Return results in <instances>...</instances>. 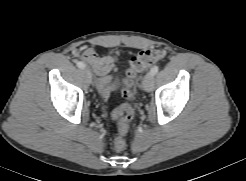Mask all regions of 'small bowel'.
Masks as SVG:
<instances>
[{
	"instance_id": "obj_1",
	"label": "small bowel",
	"mask_w": 246,
	"mask_h": 181,
	"mask_svg": "<svg viewBox=\"0 0 246 181\" xmlns=\"http://www.w3.org/2000/svg\"><path fill=\"white\" fill-rule=\"evenodd\" d=\"M76 57L87 62L97 75V85L104 96H107L113 84L116 65L115 58L110 55H100L94 48L76 52Z\"/></svg>"
}]
</instances>
